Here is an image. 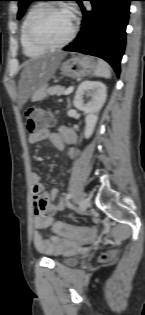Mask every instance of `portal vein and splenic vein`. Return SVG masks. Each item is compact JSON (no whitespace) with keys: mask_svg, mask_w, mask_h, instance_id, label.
<instances>
[{"mask_svg":"<svg viewBox=\"0 0 145 315\" xmlns=\"http://www.w3.org/2000/svg\"><path fill=\"white\" fill-rule=\"evenodd\" d=\"M74 87H69L68 89H66V91L64 92L65 95L70 94L73 91Z\"/></svg>","mask_w":145,"mask_h":315,"instance_id":"18ae733b","label":"portal vein and splenic vein"}]
</instances>
